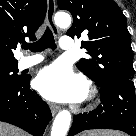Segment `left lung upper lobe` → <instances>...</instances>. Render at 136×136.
<instances>
[{"mask_svg":"<svg viewBox=\"0 0 136 136\" xmlns=\"http://www.w3.org/2000/svg\"><path fill=\"white\" fill-rule=\"evenodd\" d=\"M59 9L68 10L73 25L67 35L87 33L82 42L92 59H81L76 66L97 85L110 80H132L133 51L126 17L113 0H57Z\"/></svg>","mask_w":136,"mask_h":136,"instance_id":"5c2ea615","label":"left lung upper lobe"}]
</instances>
